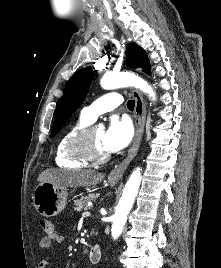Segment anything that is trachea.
I'll use <instances>...</instances> for the list:
<instances>
[{
	"mask_svg": "<svg viewBox=\"0 0 221 268\" xmlns=\"http://www.w3.org/2000/svg\"><path fill=\"white\" fill-rule=\"evenodd\" d=\"M134 106H135V101L134 100H129L128 102H127V108L129 109V110H134Z\"/></svg>",
	"mask_w": 221,
	"mask_h": 268,
	"instance_id": "trachea-1",
	"label": "trachea"
}]
</instances>
